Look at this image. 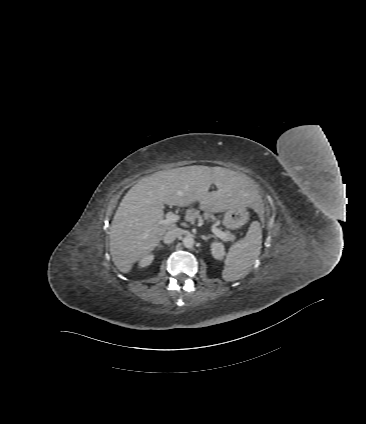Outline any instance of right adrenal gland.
<instances>
[{
  "label": "right adrenal gland",
  "mask_w": 366,
  "mask_h": 424,
  "mask_svg": "<svg viewBox=\"0 0 366 424\" xmlns=\"http://www.w3.org/2000/svg\"><path fill=\"white\" fill-rule=\"evenodd\" d=\"M158 248H163V245H161V244H158Z\"/></svg>",
  "instance_id": "obj_1"
}]
</instances>
